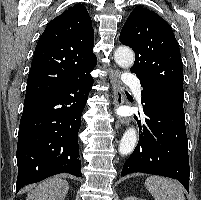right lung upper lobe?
<instances>
[{
	"mask_svg": "<svg viewBox=\"0 0 201 200\" xmlns=\"http://www.w3.org/2000/svg\"><path fill=\"white\" fill-rule=\"evenodd\" d=\"M94 30L82 4L53 19L39 38L25 97L62 88L94 69Z\"/></svg>",
	"mask_w": 201,
	"mask_h": 200,
	"instance_id": "obj_1",
	"label": "right lung upper lobe"
}]
</instances>
